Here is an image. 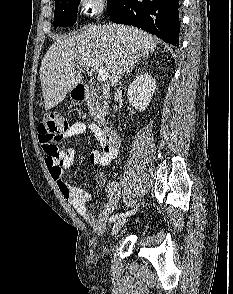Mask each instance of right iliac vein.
I'll return each mask as SVG.
<instances>
[{
	"label": "right iliac vein",
	"instance_id": "1",
	"mask_svg": "<svg viewBox=\"0 0 233 294\" xmlns=\"http://www.w3.org/2000/svg\"><path fill=\"white\" fill-rule=\"evenodd\" d=\"M125 223H126V218H122V219L117 220L112 227L111 235L112 236L117 235Z\"/></svg>",
	"mask_w": 233,
	"mask_h": 294
}]
</instances>
